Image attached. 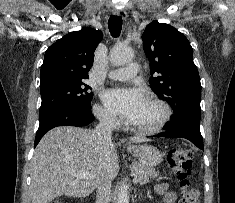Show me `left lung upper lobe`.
I'll list each match as a JSON object with an SVG mask.
<instances>
[{
	"label": "left lung upper lobe",
	"instance_id": "obj_1",
	"mask_svg": "<svg viewBox=\"0 0 235 203\" xmlns=\"http://www.w3.org/2000/svg\"><path fill=\"white\" fill-rule=\"evenodd\" d=\"M143 48L150 61V87L168 102L173 117L187 112L201 115V83L187 38L169 24L152 21L142 35Z\"/></svg>",
	"mask_w": 235,
	"mask_h": 203
}]
</instances>
